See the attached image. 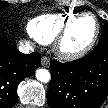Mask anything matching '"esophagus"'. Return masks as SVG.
Instances as JSON below:
<instances>
[{"mask_svg":"<svg viewBox=\"0 0 108 108\" xmlns=\"http://www.w3.org/2000/svg\"><path fill=\"white\" fill-rule=\"evenodd\" d=\"M41 64H42L43 67H49V65H50V59H49V57L43 56L41 58Z\"/></svg>","mask_w":108,"mask_h":108,"instance_id":"1","label":"esophagus"}]
</instances>
